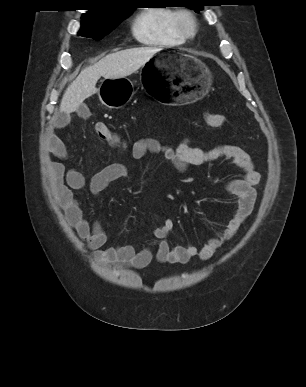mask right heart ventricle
I'll return each mask as SVG.
<instances>
[{
	"label": "right heart ventricle",
	"mask_w": 306,
	"mask_h": 387,
	"mask_svg": "<svg viewBox=\"0 0 306 387\" xmlns=\"http://www.w3.org/2000/svg\"><path fill=\"white\" fill-rule=\"evenodd\" d=\"M177 10L171 7H150L141 10L133 19L131 32L141 44L157 48H171L185 43L175 25Z\"/></svg>",
	"instance_id": "e07e8e85"
}]
</instances>
